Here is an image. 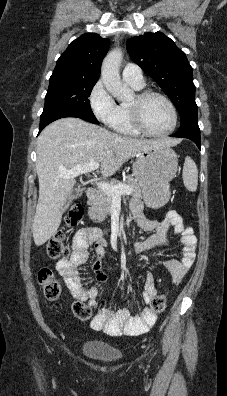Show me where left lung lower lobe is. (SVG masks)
Returning <instances> with one entry per match:
<instances>
[{
  "label": "left lung lower lobe",
  "mask_w": 227,
  "mask_h": 396,
  "mask_svg": "<svg viewBox=\"0 0 227 396\" xmlns=\"http://www.w3.org/2000/svg\"><path fill=\"white\" fill-rule=\"evenodd\" d=\"M171 136L190 139L200 149L201 139L197 113L190 114L183 121H181L179 130Z\"/></svg>",
  "instance_id": "1"
}]
</instances>
